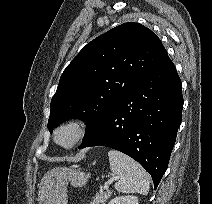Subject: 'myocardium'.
<instances>
[{"label":"myocardium","instance_id":"myocardium-1","mask_svg":"<svg viewBox=\"0 0 212 204\" xmlns=\"http://www.w3.org/2000/svg\"><path fill=\"white\" fill-rule=\"evenodd\" d=\"M69 131L72 134L71 139L64 143L59 140V135ZM85 128L83 124L77 119H69L60 123L54 130V142L62 148L69 149L76 146L84 137Z\"/></svg>","mask_w":212,"mask_h":204}]
</instances>
